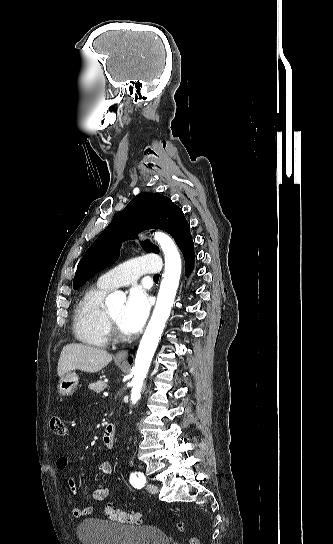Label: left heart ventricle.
<instances>
[{
  "instance_id": "left-heart-ventricle-1",
  "label": "left heart ventricle",
  "mask_w": 333,
  "mask_h": 544,
  "mask_svg": "<svg viewBox=\"0 0 333 544\" xmlns=\"http://www.w3.org/2000/svg\"><path fill=\"white\" fill-rule=\"evenodd\" d=\"M123 308L124 307L122 305H120V306H117V307L109 310L111 316L115 319V321L118 323L119 326H120V317H121Z\"/></svg>"
}]
</instances>
